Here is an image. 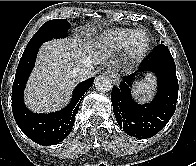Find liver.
Instances as JSON below:
<instances>
[{"label":"liver","mask_w":196,"mask_h":166,"mask_svg":"<svg viewBox=\"0 0 196 166\" xmlns=\"http://www.w3.org/2000/svg\"><path fill=\"white\" fill-rule=\"evenodd\" d=\"M110 42L109 37L86 43L75 38L45 42L27 83L26 105L38 113L59 108L81 80L73 71L81 66H91L92 71L94 65L106 62Z\"/></svg>","instance_id":"1"}]
</instances>
